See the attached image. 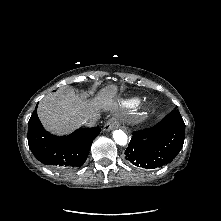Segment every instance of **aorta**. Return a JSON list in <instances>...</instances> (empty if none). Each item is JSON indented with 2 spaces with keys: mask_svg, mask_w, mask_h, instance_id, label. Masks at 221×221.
<instances>
[{
  "mask_svg": "<svg viewBox=\"0 0 221 221\" xmlns=\"http://www.w3.org/2000/svg\"><path fill=\"white\" fill-rule=\"evenodd\" d=\"M113 139L118 145L124 146L127 144L128 138L122 130L113 131Z\"/></svg>",
  "mask_w": 221,
  "mask_h": 221,
  "instance_id": "obj_1",
  "label": "aorta"
}]
</instances>
